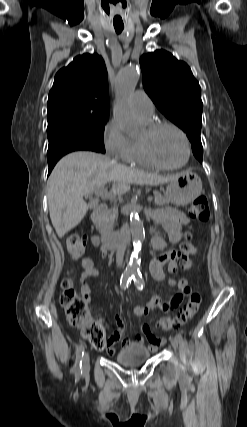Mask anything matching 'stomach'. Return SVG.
Listing matches in <instances>:
<instances>
[{
	"mask_svg": "<svg viewBox=\"0 0 247 427\" xmlns=\"http://www.w3.org/2000/svg\"><path fill=\"white\" fill-rule=\"evenodd\" d=\"M202 193V181L200 177L191 170L177 174L171 180L166 189V199L177 205L185 206L192 203Z\"/></svg>",
	"mask_w": 247,
	"mask_h": 427,
	"instance_id": "stomach-1",
	"label": "stomach"
}]
</instances>
